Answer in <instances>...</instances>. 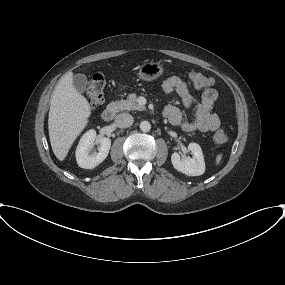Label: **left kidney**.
<instances>
[{
	"instance_id": "obj_1",
	"label": "left kidney",
	"mask_w": 285,
	"mask_h": 285,
	"mask_svg": "<svg viewBox=\"0 0 285 285\" xmlns=\"http://www.w3.org/2000/svg\"><path fill=\"white\" fill-rule=\"evenodd\" d=\"M188 149L191 151L192 157L181 159L180 155L175 152L171 156L172 165L176 170L188 176H200L205 172V161L201 147L192 142L189 143Z\"/></svg>"
}]
</instances>
